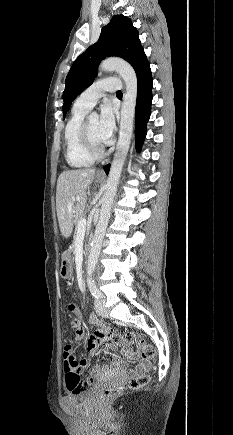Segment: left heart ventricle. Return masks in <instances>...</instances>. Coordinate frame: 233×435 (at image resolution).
I'll return each mask as SVG.
<instances>
[{"mask_svg": "<svg viewBox=\"0 0 233 435\" xmlns=\"http://www.w3.org/2000/svg\"><path fill=\"white\" fill-rule=\"evenodd\" d=\"M90 137L93 144L97 147H103L105 144L101 141L99 136V120L97 118L88 119Z\"/></svg>", "mask_w": 233, "mask_h": 435, "instance_id": "left-heart-ventricle-1", "label": "left heart ventricle"}]
</instances>
